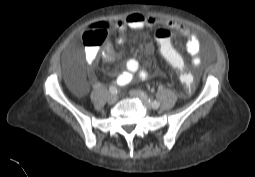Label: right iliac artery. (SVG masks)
<instances>
[{
    "label": "right iliac artery",
    "instance_id": "obj_1",
    "mask_svg": "<svg viewBox=\"0 0 255 177\" xmlns=\"http://www.w3.org/2000/svg\"><path fill=\"white\" fill-rule=\"evenodd\" d=\"M109 91L111 94H117V88L115 86H110Z\"/></svg>",
    "mask_w": 255,
    "mask_h": 177
}]
</instances>
